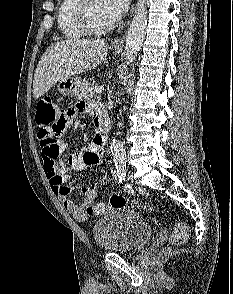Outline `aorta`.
Returning <instances> with one entry per match:
<instances>
[{
	"label": "aorta",
	"instance_id": "1",
	"mask_svg": "<svg viewBox=\"0 0 233 294\" xmlns=\"http://www.w3.org/2000/svg\"><path fill=\"white\" fill-rule=\"evenodd\" d=\"M146 2L147 0H138L134 17L127 32L125 44L126 67L133 63L145 39L148 13ZM110 149L115 165L118 167L125 166L126 153L123 144L119 140L114 139L110 144Z\"/></svg>",
	"mask_w": 233,
	"mask_h": 294
}]
</instances>
